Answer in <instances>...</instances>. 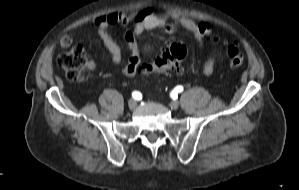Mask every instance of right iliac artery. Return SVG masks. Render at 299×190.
I'll use <instances>...</instances> for the list:
<instances>
[{
	"label": "right iliac artery",
	"instance_id": "1",
	"mask_svg": "<svg viewBox=\"0 0 299 190\" xmlns=\"http://www.w3.org/2000/svg\"><path fill=\"white\" fill-rule=\"evenodd\" d=\"M132 97H133L135 100H139V99H141L142 95H141L140 92H138V91H134V92L132 93Z\"/></svg>",
	"mask_w": 299,
	"mask_h": 190
}]
</instances>
